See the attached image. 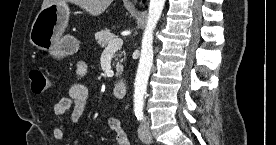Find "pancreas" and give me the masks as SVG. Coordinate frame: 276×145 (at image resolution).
<instances>
[{
  "label": "pancreas",
  "mask_w": 276,
  "mask_h": 145,
  "mask_svg": "<svg viewBox=\"0 0 276 145\" xmlns=\"http://www.w3.org/2000/svg\"><path fill=\"white\" fill-rule=\"evenodd\" d=\"M112 39H114V36L111 33V31L108 29L99 31L98 33L95 34V40L97 41V44L101 48H106L109 41H111ZM115 60H118V58H115ZM122 71H123V65H122V61H120V63L116 65V77H118Z\"/></svg>",
  "instance_id": "1"
}]
</instances>
